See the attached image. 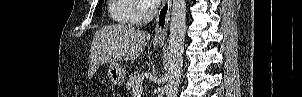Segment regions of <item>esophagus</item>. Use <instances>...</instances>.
<instances>
[{
  "label": "esophagus",
  "instance_id": "1",
  "mask_svg": "<svg viewBox=\"0 0 302 97\" xmlns=\"http://www.w3.org/2000/svg\"><path fill=\"white\" fill-rule=\"evenodd\" d=\"M172 0H165L160 7L155 23L154 42L164 43L167 38L168 24L170 19Z\"/></svg>",
  "mask_w": 302,
  "mask_h": 97
}]
</instances>
